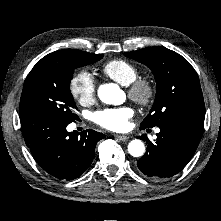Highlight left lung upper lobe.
I'll return each instance as SVG.
<instances>
[{
  "instance_id": "5c2ea615",
  "label": "left lung upper lobe",
  "mask_w": 221,
  "mask_h": 221,
  "mask_svg": "<svg viewBox=\"0 0 221 221\" xmlns=\"http://www.w3.org/2000/svg\"><path fill=\"white\" fill-rule=\"evenodd\" d=\"M124 55L149 67L157 83L155 102L141 123V129L159 127L179 116L205 114L198 75L180 54L156 46Z\"/></svg>"
}]
</instances>
